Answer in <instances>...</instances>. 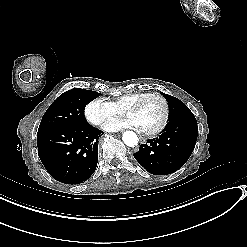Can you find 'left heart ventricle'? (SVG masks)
Wrapping results in <instances>:
<instances>
[{"instance_id":"obj_1","label":"left heart ventricle","mask_w":247,"mask_h":247,"mask_svg":"<svg viewBox=\"0 0 247 247\" xmlns=\"http://www.w3.org/2000/svg\"><path fill=\"white\" fill-rule=\"evenodd\" d=\"M163 116V102L157 97H151L143 100L131 117L135 119L139 129L149 131L161 124Z\"/></svg>"}]
</instances>
